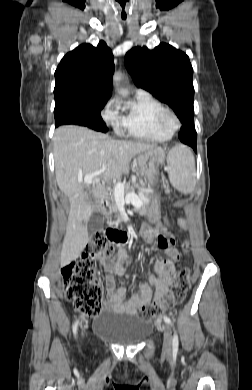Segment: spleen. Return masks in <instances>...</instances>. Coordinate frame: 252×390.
Masks as SVG:
<instances>
[{
	"label": "spleen",
	"instance_id": "spleen-1",
	"mask_svg": "<svg viewBox=\"0 0 252 390\" xmlns=\"http://www.w3.org/2000/svg\"><path fill=\"white\" fill-rule=\"evenodd\" d=\"M167 169L170 183L183 194L194 191L195 160L191 151L185 146H176L167 155Z\"/></svg>",
	"mask_w": 252,
	"mask_h": 390
}]
</instances>
